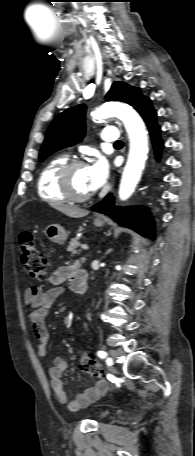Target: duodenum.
<instances>
[{
	"label": "duodenum",
	"instance_id": "1",
	"mask_svg": "<svg viewBox=\"0 0 195 456\" xmlns=\"http://www.w3.org/2000/svg\"><path fill=\"white\" fill-rule=\"evenodd\" d=\"M88 287V273L83 268H78L71 279V288L77 294H84Z\"/></svg>",
	"mask_w": 195,
	"mask_h": 456
}]
</instances>
